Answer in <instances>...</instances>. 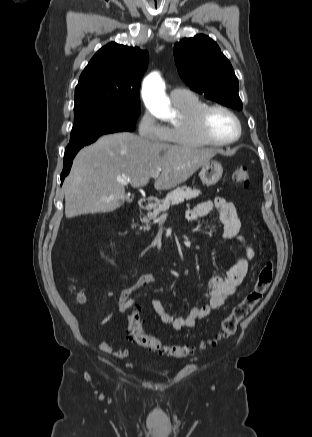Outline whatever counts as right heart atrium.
<instances>
[{
  "label": "right heart atrium",
  "instance_id": "right-heart-atrium-1",
  "mask_svg": "<svg viewBox=\"0 0 312 437\" xmlns=\"http://www.w3.org/2000/svg\"><path fill=\"white\" fill-rule=\"evenodd\" d=\"M138 133L145 140L163 142L167 129L149 111H145L138 122Z\"/></svg>",
  "mask_w": 312,
  "mask_h": 437
}]
</instances>
